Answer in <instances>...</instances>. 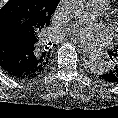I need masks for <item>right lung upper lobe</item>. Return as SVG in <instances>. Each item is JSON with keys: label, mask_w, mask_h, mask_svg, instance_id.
Here are the masks:
<instances>
[{"label": "right lung upper lobe", "mask_w": 118, "mask_h": 118, "mask_svg": "<svg viewBox=\"0 0 118 118\" xmlns=\"http://www.w3.org/2000/svg\"><path fill=\"white\" fill-rule=\"evenodd\" d=\"M47 1L58 3L60 0H47ZM10 27H13V26H10L7 24L6 25H0V29L10 28ZM15 28H17V27H15ZM44 28L45 27L40 28L38 31L32 32V33L27 31L29 33L32 41L38 47V51L36 54V65H35L36 71L38 73H41L47 67V65L49 63V58H50L49 47L47 45L43 44V42L40 40V34Z\"/></svg>", "instance_id": "obj_1"}]
</instances>
